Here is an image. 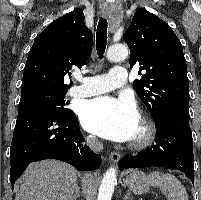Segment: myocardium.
I'll return each mask as SVG.
<instances>
[{
  "label": "myocardium",
  "mask_w": 201,
  "mask_h": 200,
  "mask_svg": "<svg viewBox=\"0 0 201 200\" xmlns=\"http://www.w3.org/2000/svg\"><path fill=\"white\" fill-rule=\"evenodd\" d=\"M139 121L141 125L140 135L133 139L130 146L134 149H142L149 146L156 135V127L153 122L146 116H139Z\"/></svg>",
  "instance_id": "obj_1"
}]
</instances>
